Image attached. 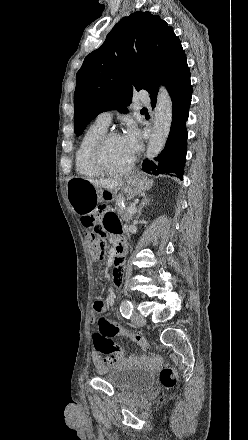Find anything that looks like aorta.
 <instances>
[{
  "mask_svg": "<svg viewBox=\"0 0 248 440\" xmlns=\"http://www.w3.org/2000/svg\"><path fill=\"white\" fill-rule=\"evenodd\" d=\"M172 122V100L164 86L157 95L152 133L148 142L146 157L154 159L164 148Z\"/></svg>",
  "mask_w": 248,
  "mask_h": 440,
  "instance_id": "762f6f07",
  "label": "aorta"
}]
</instances>
